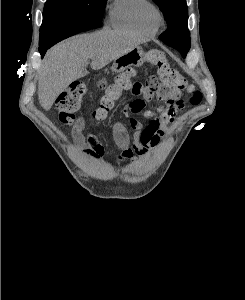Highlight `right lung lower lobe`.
<instances>
[{"mask_svg": "<svg viewBox=\"0 0 245 300\" xmlns=\"http://www.w3.org/2000/svg\"><path fill=\"white\" fill-rule=\"evenodd\" d=\"M101 24H102V21H101V22H91V23L85 25L84 31H87V30H90V29H94V28H98V27L101 26ZM50 47H51V46H49V45H47V46H40V47H39V52H40V54H41V57L44 56L46 50H47L48 48H50Z\"/></svg>", "mask_w": 245, "mask_h": 300, "instance_id": "98d812e1", "label": "right lung lower lobe"}]
</instances>
